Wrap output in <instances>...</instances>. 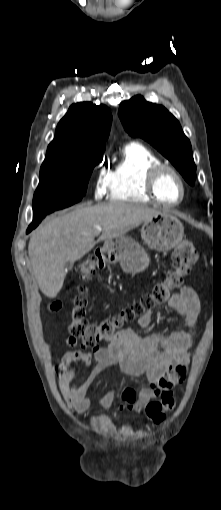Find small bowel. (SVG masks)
<instances>
[{"instance_id": "1", "label": "small bowel", "mask_w": 221, "mask_h": 510, "mask_svg": "<svg viewBox=\"0 0 221 510\" xmlns=\"http://www.w3.org/2000/svg\"><path fill=\"white\" fill-rule=\"evenodd\" d=\"M169 307L178 319L186 321L188 330L165 334L139 336L132 329L120 331L116 339L105 346H97L91 352L82 349L65 351L55 367L60 391L66 402L79 413L90 408L87 391L96 378L106 369L114 367L120 375L145 376L148 387L136 393L127 388L123 393L126 408L140 413L147 404L157 398L173 395V387L185 378L186 369L192 356L194 333L198 327L200 301L196 291L190 286H182L169 299ZM153 323L150 311L138 318L142 328ZM68 348L80 347L78 339L70 336L66 340ZM79 366L92 369L85 380L75 383ZM116 389L113 388L98 401L102 409L108 410L115 402Z\"/></svg>"}]
</instances>
